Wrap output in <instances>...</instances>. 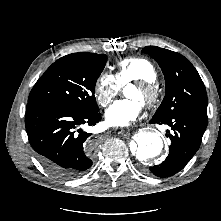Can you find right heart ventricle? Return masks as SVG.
Segmentation results:
<instances>
[{"label":"right heart ventricle","mask_w":221,"mask_h":221,"mask_svg":"<svg viewBox=\"0 0 221 221\" xmlns=\"http://www.w3.org/2000/svg\"><path fill=\"white\" fill-rule=\"evenodd\" d=\"M113 75L122 85L134 80L155 82L157 79L154 65L145 57H129L121 60Z\"/></svg>","instance_id":"obj_1"}]
</instances>
